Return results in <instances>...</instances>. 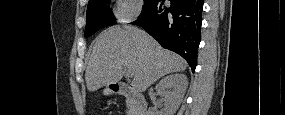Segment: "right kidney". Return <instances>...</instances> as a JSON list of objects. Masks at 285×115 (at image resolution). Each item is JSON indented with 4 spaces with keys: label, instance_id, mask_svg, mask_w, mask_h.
Returning <instances> with one entry per match:
<instances>
[{
    "label": "right kidney",
    "instance_id": "ca27d5eb",
    "mask_svg": "<svg viewBox=\"0 0 285 115\" xmlns=\"http://www.w3.org/2000/svg\"><path fill=\"white\" fill-rule=\"evenodd\" d=\"M187 86L188 80L184 74H171L160 80L156 85V91L164 97L165 108L160 111L150 108L149 115H174L182 102Z\"/></svg>",
    "mask_w": 285,
    "mask_h": 115
}]
</instances>
